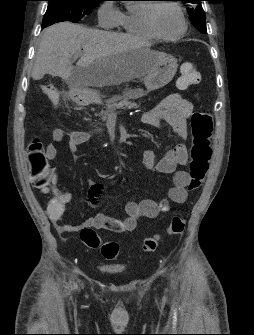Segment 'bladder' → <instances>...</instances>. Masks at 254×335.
Listing matches in <instances>:
<instances>
[{"instance_id":"31cf9c89","label":"bladder","mask_w":254,"mask_h":335,"mask_svg":"<svg viewBox=\"0 0 254 335\" xmlns=\"http://www.w3.org/2000/svg\"><path fill=\"white\" fill-rule=\"evenodd\" d=\"M100 270L104 273H107V274H118V273L123 272L122 268L110 267V266H102V267H100Z\"/></svg>"}]
</instances>
